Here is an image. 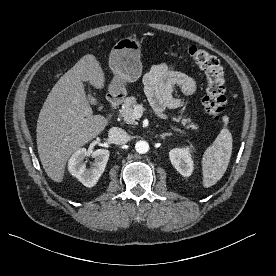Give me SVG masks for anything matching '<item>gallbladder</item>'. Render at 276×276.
I'll return each instance as SVG.
<instances>
[{
	"label": "gallbladder",
	"mask_w": 276,
	"mask_h": 276,
	"mask_svg": "<svg viewBox=\"0 0 276 276\" xmlns=\"http://www.w3.org/2000/svg\"><path fill=\"white\" fill-rule=\"evenodd\" d=\"M88 99L92 104L97 103V100L95 99V97H93L91 94L88 95Z\"/></svg>",
	"instance_id": "gallbladder-1"
}]
</instances>
